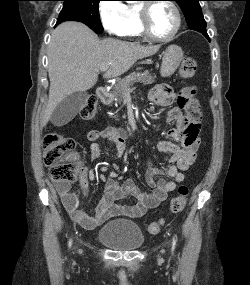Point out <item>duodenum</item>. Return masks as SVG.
Masks as SVG:
<instances>
[{"label": "duodenum", "mask_w": 250, "mask_h": 285, "mask_svg": "<svg viewBox=\"0 0 250 285\" xmlns=\"http://www.w3.org/2000/svg\"><path fill=\"white\" fill-rule=\"evenodd\" d=\"M96 93L102 103H108L110 101V93L105 87L97 88Z\"/></svg>", "instance_id": "1"}]
</instances>
